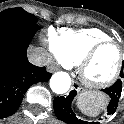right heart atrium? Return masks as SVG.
<instances>
[{
    "label": "right heart atrium",
    "instance_id": "right-heart-atrium-1",
    "mask_svg": "<svg viewBox=\"0 0 124 124\" xmlns=\"http://www.w3.org/2000/svg\"><path fill=\"white\" fill-rule=\"evenodd\" d=\"M45 45L49 52V54L59 60L63 65L68 66V64L65 62L62 53L59 50L58 46V35L51 29L47 31V34L45 36Z\"/></svg>",
    "mask_w": 124,
    "mask_h": 124
}]
</instances>
